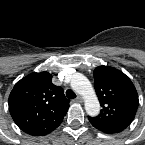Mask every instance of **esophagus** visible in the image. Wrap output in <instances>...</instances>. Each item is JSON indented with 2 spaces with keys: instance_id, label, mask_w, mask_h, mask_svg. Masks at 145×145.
<instances>
[{
  "instance_id": "obj_1",
  "label": "esophagus",
  "mask_w": 145,
  "mask_h": 145,
  "mask_svg": "<svg viewBox=\"0 0 145 145\" xmlns=\"http://www.w3.org/2000/svg\"><path fill=\"white\" fill-rule=\"evenodd\" d=\"M75 102L76 103H82L83 102V98L81 96H78L76 99H75Z\"/></svg>"
}]
</instances>
